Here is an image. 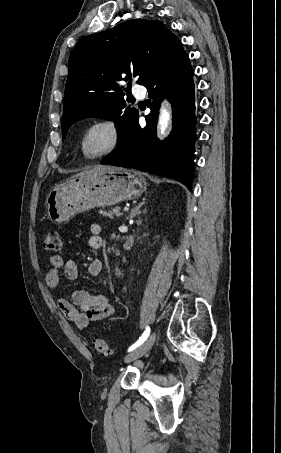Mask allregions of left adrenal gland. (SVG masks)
I'll return each instance as SVG.
<instances>
[{"label":"left adrenal gland","mask_w":281,"mask_h":453,"mask_svg":"<svg viewBox=\"0 0 281 453\" xmlns=\"http://www.w3.org/2000/svg\"><path fill=\"white\" fill-rule=\"evenodd\" d=\"M143 204H145V200L144 202H139L138 206H134V208H132L129 216H127V218H133V216H136V214H141V212H147V210H140L141 206H143Z\"/></svg>","instance_id":"a2214340"}]
</instances>
